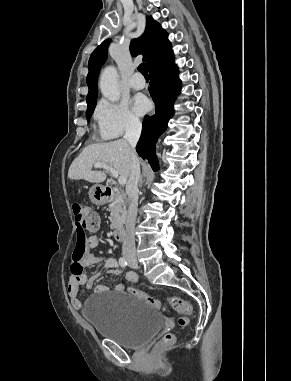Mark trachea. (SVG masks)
Wrapping results in <instances>:
<instances>
[{"label": "trachea", "instance_id": "obj_1", "mask_svg": "<svg viewBox=\"0 0 291 381\" xmlns=\"http://www.w3.org/2000/svg\"><path fill=\"white\" fill-rule=\"evenodd\" d=\"M139 72L145 77L149 78L148 70L145 63H141L138 67Z\"/></svg>", "mask_w": 291, "mask_h": 381}]
</instances>
